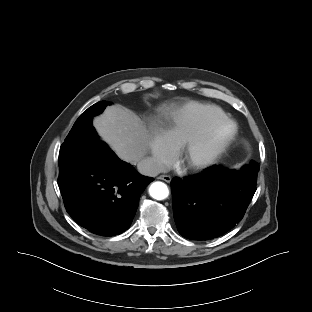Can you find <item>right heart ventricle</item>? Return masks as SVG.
<instances>
[{
    "mask_svg": "<svg viewBox=\"0 0 312 312\" xmlns=\"http://www.w3.org/2000/svg\"><path fill=\"white\" fill-rule=\"evenodd\" d=\"M225 118L227 115L219 106L191 102L166 117L164 132L171 143L179 147L211 124Z\"/></svg>",
    "mask_w": 312,
    "mask_h": 312,
    "instance_id": "e07e8e85",
    "label": "right heart ventricle"
}]
</instances>
